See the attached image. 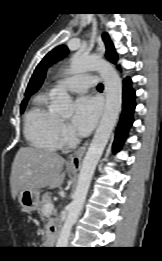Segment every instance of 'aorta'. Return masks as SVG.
Listing matches in <instances>:
<instances>
[{
	"instance_id": "obj_1",
	"label": "aorta",
	"mask_w": 162,
	"mask_h": 261,
	"mask_svg": "<svg viewBox=\"0 0 162 261\" xmlns=\"http://www.w3.org/2000/svg\"><path fill=\"white\" fill-rule=\"evenodd\" d=\"M91 70L98 71L103 79L106 94L105 111L84 157L73 201L69 205L66 221L57 240V248H66L68 245L72 227L83 207L96 165L108 143L121 110L122 83L115 68L109 62L97 56L73 55L68 74H78ZM71 103L72 99L67 91L59 88L56 90V96L50 109L62 115H70L72 114Z\"/></svg>"
}]
</instances>
